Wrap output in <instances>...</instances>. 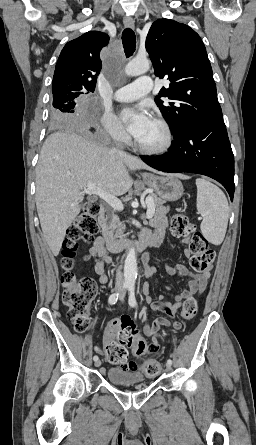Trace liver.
Instances as JSON below:
<instances>
[{"instance_id":"obj_1","label":"liver","mask_w":256,"mask_h":445,"mask_svg":"<svg viewBox=\"0 0 256 445\" xmlns=\"http://www.w3.org/2000/svg\"><path fill=\"white\" fill-rule=\"evenodd\" d=\"M153 170L140 159L88 137L56 132L45 140L36 167V207L43 235L54 256L66 230L81 211V190L92 182L114 196L127 193L135 170ZM162 174V173H160Z\"/></svg>"}]
</instances>
